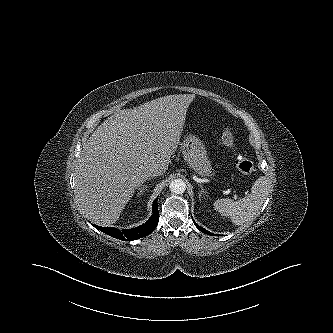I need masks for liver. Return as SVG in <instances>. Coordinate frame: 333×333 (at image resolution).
I'll return each mask as SVG.
<instances>
[{
  "instance_id": "1",
  "label": "liver",
  "mask_w": 333,
  "mask_h": 333,
  "mask_svg": "<svg viewBox=\"0 0 333 333\" xmlns=\"http://www.w3.org/2000/svg\"><path fill=\"white\" fill-rule=\"evenodd\" d=\"M194 95H168L106 119L82 150L75 198L85 217L111 225L150 169H168Z\"/></svg>"
}]
</instances>
